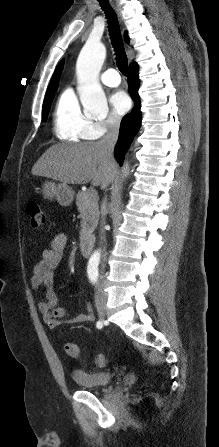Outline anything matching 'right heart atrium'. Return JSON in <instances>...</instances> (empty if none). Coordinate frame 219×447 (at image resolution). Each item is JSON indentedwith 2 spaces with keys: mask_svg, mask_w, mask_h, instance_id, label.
<instances>
[{
  "mask_svg": "<svg viewBox=\"0 0 219 447\" xmlns=\"http://www.w3.org/2000/svg\"><path fill=\"white\" fill-rule=\"evenodd\" d=\"M121 124V117L115 113L110 114L106 119L95 123V132L98 137L115 131Z\"/></svg>",
  "mask_w": 219,
  "mask_h": 447,
  "instance_id": "obj_1",
  "label": "right heart atrium"
}]
</instances>
